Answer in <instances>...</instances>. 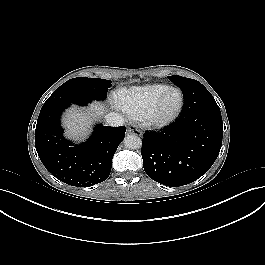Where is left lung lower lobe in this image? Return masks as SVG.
Listing matches in <instances>:
<instances>
[{"mask_svg": "<svg viewBox=\"0 0 265 265\" xmlns=\"http://www.w3.org/2000/svg\"><path fill=\"white\" fill-rule=\"evenodd\" d=\"M181 90V116L161 132H145L141 149L146 174L169 187L187 185L204 175L215 162L223 137L220 109L204 103V87L192 83Z\"/></svg>", "mask_w": 265, "mask_h": 265, "instance_id": "left-lung-lower-lobe-1", "label": "left lung lower lobe"}]
</instances>
